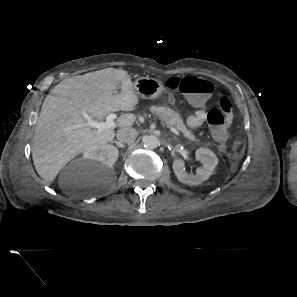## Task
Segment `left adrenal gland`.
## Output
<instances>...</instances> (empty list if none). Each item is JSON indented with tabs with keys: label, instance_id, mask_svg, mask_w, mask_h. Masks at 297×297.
Instances as JSON below:
<instances>
[{
	"label": "left adrenal gland",
	"instance_id": "left-adrenal-gland-1",
	"mask_svg": "<svg viewBox=\"0 0 297 297\" xmlns=\"http://www.w3.org/2000/svg\"><path fill=\"white\" fill-rule=\"evenodd\" d=\"M173 140H174V141H177V140H178V138H177V137H174V138H173ZM171 141H172V139H171V138H170V139H168V142H171Z\"/></svg>",
	"mask_w": 297,
	"mask_h": 297
}]
</instances>
